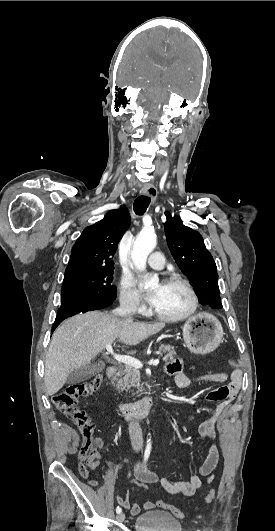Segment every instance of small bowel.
<instances>
[{
    "label": "small bowel",
    "instance_id": "obj_1",
    "mask_svg": "<svg viewBox=\"0 0 275 531\" xmlns=\"http://www.w3.org/2000/svg\"><path fill=\"white\" fill-rule=\"evenodd\" d=\"M166 372L167 374L172 375L174 377V384L178 389H186L196 382L227 384L226 387H228L229 389V396L226 398V400L219 403L214 415L206 419L199 428V435L201 436V438L215 439L217 435L215 425L218 418H220L224 414L230 403L237 397V394L239 392L242 379L241 371L234 370L230 374H227L225 372H215L192 377L184 372L183 360L180 358H175L169 363H167ZM208 399L214 400L212 396H209ZM82 445L80 448H82ZM89 458L97 459L99 465V452H92ZM218 464L219 451L217 446L215 444H212L208 448L207 455L199 468V474L188 472L186 468L182 465V462L178 455H173L170 458V465L177 471L187 475V481L175 480L169 477L159 478L154 471L150 470L145 465L143 460H139L136 463L134 475L136 480H144L146 486L159 482L161 486L170 494H182L184 496H191L197 490H200L205 485V483H209L213 480L216 470L218 468ZM81 476L85 477L86 475ZM117 502L122 508L128 509L129 513L132 516L139 515L142 509H144L145 511H151L154 509L155 506L154 503L151 501H146L142 507L139 504H130L128 492L119 495L117 498Z\"/></svg>",
    "mask_w": 275,
    "mask_h": 531
}]
</instances>
